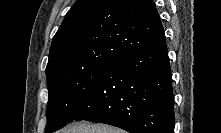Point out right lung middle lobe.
<instances>
[{
    "label": "right lung middle lobe",
    "mask_w": 221,
    "mask_h": 133,
    "mask_svg": "<svg viewBox=\"0 0 221 133\" xmlns=\"http://www.w3.org/2000/svg\"><path fill=\"white\" fill-rule=\"evenodd\" d=\"M110 65L66 67L46 75L49 98L46 133L62 128L75 118Z\"/></svg>",
    "instance_id": "1"
}]
</instances>
